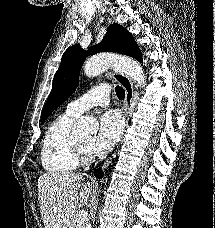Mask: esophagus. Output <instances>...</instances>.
I'll list each match as a JSON object with an SVG mask.
<instances>
[{"mask_svg":"<svg viewBox=\"0 0 215 228\" xmlns=\"http://www.w3.org/2000/svg\"><path fill=\"white\" fill-rule=\"evenodd\" d=\"M112 75L125 91L124 113H125L126 121L128 122L129 109L132 105V101L134 98V88H133L132 82H131L130 78L127 77V75H124V73L114 71V72H112ZM111 161H112V159L108 160L104 164L103 168H107V166H109Z\"/></svg>","mask_w":215,"mask_h":228,"instance_id":"34e87169","label":"esophagus"}]
</instances>
